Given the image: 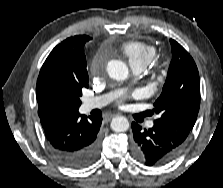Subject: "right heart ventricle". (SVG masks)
<instances>
[{
  "mask_svg": "<svg viewBox=\"0 0 223 188\" xmlns=\"http://www.w3.org/2000/svg\"><path fill=\"white\" fill-rule=\"evenodd\" d=\"M121 53L128 58L130 65H141L144 68L156 57L155 46L143 41L130 40L120 46Z\"/></svg>",
  "mask_w": 223,
  "mask_h": 188,
  "instance_id": "right-heart-ventricle-1",
  "label": "right heart ventricle"
}]
</instances>
